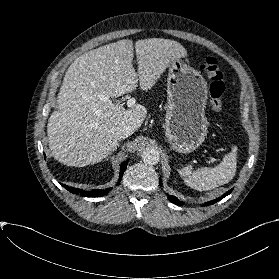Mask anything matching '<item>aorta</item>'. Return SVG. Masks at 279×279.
Returning <instances> with one entry per match:
<instances>
[{
	"label": "aorta",
	"instance_id": "762f6f07",
	"mask_svg": "<svg viewBox=\"0 0 279 279\" xmlns=\"http://www.w3.org/2000/svg\"><path fill=\"white\" fill-rule=\"evenodd\" d=\"M159 151L155 148H147L142 153V160L149 165H156L159 162Z\"/></svg>",
	"mask_w": 279,
	"mask_h": 279
}]
</instances>
